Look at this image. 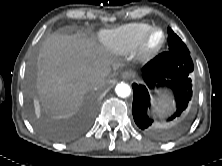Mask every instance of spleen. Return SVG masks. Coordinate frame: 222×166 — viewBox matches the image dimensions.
<instances>
[{
	"instance_id": "spleen-1",
	"label": "spleen",
	"mask_w": 222,
	"mask_h": 166,
	"mask_svg": "<svg viewBox=\"0 0 222 166\" xmlns=\"http://www.w3.org/2000/svg\"><path fill=\"white\" fill-rule=\"evenodd\" d=\"M154 101L155 109L160 115H164L171 111V100L164 91H158V97Z\"/></svg>"
}]
</instances>
